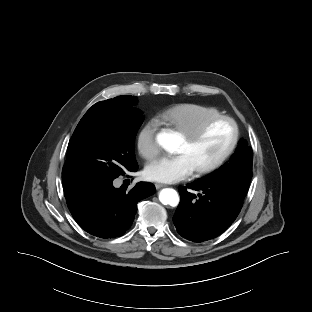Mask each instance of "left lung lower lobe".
<instances>
[{
    "mask_svg": "<svg viewBox=\"0 0 312 312\" xmlns=\"http://www.w3.org/2000/svg\"><path fill=\"white\" fill-rule=\"evenodd\" d=\"M198 191L197 195L191 190ZM180 203L173 222L185 239L203 242L223 233L236 219L244 196L229 184L199 179L180 187Z\"/></svg>",
    "mask_w": 312,
    "mask_h": 312,
    "instance_id": "obj_1",
    "label": "left lung lower lobe"
}]
</instances>
